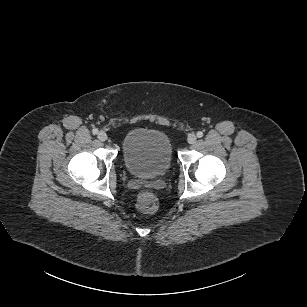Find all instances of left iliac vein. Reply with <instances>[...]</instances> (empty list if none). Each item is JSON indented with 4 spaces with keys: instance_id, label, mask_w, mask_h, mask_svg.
I'll list each match as a JSON object with an SVG mask.
<instances>
[{
    "instance_id": "left-iliac-vein-1",
    "label": "left iliac vein",
    "mask_w": 307,
    "mask_h": 307,
    "mask_svg": "<svg viewBox=\"0 0 307 307\" xmlns=\"http://www.w3.org/2000/svg\"><path fill=\"white\" fill-rule=\"evenodd\" d=\"M196 139L197 137L195 134H190L187 138V141L189 144H194L196 142Z\"/></svg>"
}]
</instances>
